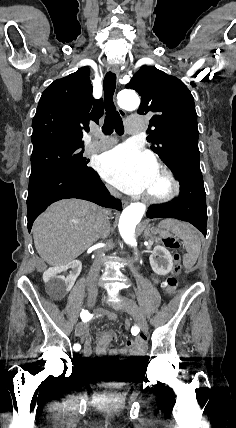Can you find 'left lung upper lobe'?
Segmentation results:
<instances>
[{
    "mask_svg": "<svg viewBox=\"0 0 236 428\" xmlns=\"http://www.w3.org/2000/svg\"><path fill=\"white\" fill-rule=\"evenodd\" d=\"M126 88L141 96L137 111L153 113L147 141L173 173L202 175L199 165L197 114L194 99L178 78L153 66H143ZM154 126V130H150Z\"/></svg>",
    "mask_w": 236,
    "mask_h": 428,
    "instance_id": "5c2ea615",
    "label": "left lung upper lobe"
}]
</instances>
